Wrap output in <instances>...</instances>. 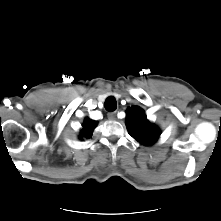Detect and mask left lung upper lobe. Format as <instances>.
I'll list each match as a JSON object with an SVG mask.
<instances>
[{"label": "left lung upper lobe", "mask_w": 221, "mask_h": 221, "mask_svg": "<svg viewBox=\"0 0 221 221\" xmlns=\"http://www.w3.org/2000/svg\"><path fill=\"white\" fill-rule=\"evenodd\" d=\"M126 126L129 134L143 145L154 144L160 136L157 126L150 123L144 111L134 106L127 109Z\"/></svg>", "instance_id": "left-lung-upper-lobe-1"}]
</instances>
